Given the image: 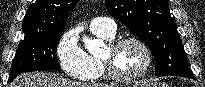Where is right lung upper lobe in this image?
<instances>
[{
  "instance_id": "1",
  "label": "right lung upper lobe",
  "mask_w": 205,
  "mask_h": 87,
  "mask_svg": "<svg viewBox=\"0 0 205 87\" xmlns=\"http://www.w3.org/2000/svg\"><path fill=\"white\" fill-rule=\"evenodd\" d=\"M79 0H36L23 18L22 30L25 35L54 33L64 29L69 12Z\"/></svg>"
}]
</instances>
